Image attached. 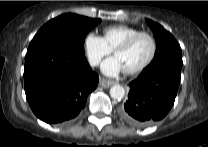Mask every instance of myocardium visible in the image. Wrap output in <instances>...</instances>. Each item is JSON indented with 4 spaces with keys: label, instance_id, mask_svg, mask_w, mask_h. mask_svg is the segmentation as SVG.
Returning a JSON list of instances; mask_svg holds the SVG:
<instances>
[{
    "label": "myocardium",
    "instance_id": "myocardium-1",
    "mask_svg": "<svg viewBox=\"0 0 208 147\" xmlns=\"http://www.w3.org/2000/svg\"><path fill=\"white\" fill-rule=\"evenodd\" d=\"M143 36L148 37L152 43L151 54L147 58V60L144 61L139 66L132 68V69L124 70L125 74L134 75V74L142 72L143 70H145L147 67H149L152 64V62L154 61V59L157 55V51H158L157 41H156L155 37L153 36V34H151L149 32H145V31H140V32L132 35L128 39H126L124 42H122L120 45H118L114 49V54H116L119 51H124V50L129 49L136 42V40H138L140 37H143Z\"/></svg>",
    "mask_w": 208,
    "mask_h": 147
}]
</instances>
